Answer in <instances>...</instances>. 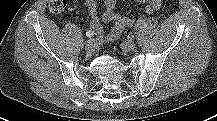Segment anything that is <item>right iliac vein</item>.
<instances>
[{"mask_svg":"<svg viewBox=\"0 0 217 121\" xmlns=\"http://www.w3.org/2000/svg\"><path fill=\"white\" fill-rule=\"evenodd\" d=\"M85 51H86L88 54H92V53L95 51V46H94V44L87 43L86 46H85Z\"/></svg>","mask_w":217,"mask_h":121,"instance_id":"obj_1","label":"right iliac vein"}]
</instances>
